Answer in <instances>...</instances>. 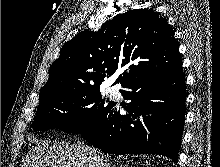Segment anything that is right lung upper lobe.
I'll return each instance as SVG.
<instances>
[{"mask_svg":"<svg viewBox=\"0 0 220 167\" xmlns=\"http://www.w3.org/2000/svg\"><path fill=\"white\" fill-rule=\"evenodd\" d=\"M181 64L174 31L167 20L149 9L118 15L98 31L84 30L65 43L41 88L43 101L62 91L100 87L117 69H127L114 82L122 86L148 73Z\"/></svg>","mask_w":220,"mask_h":167,"instance_id":"right-lung-upper-lobe-1","label":"right lung upper lobe"}]
</instances>
